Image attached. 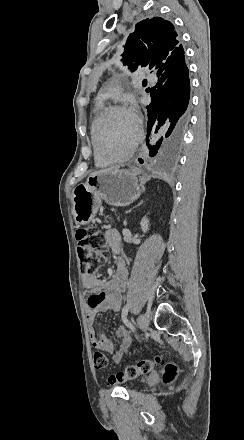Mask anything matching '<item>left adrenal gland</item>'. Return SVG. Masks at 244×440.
I'll return each instance as SVG.
<instances>
[{
  "label": "left adrenal gland",
  "mask_w": 244,
  "mask_h": 440,
  "mask_svg": "<svg viewBox=\"0 0 244 440\" xmlns=\"http://www.w3.org/2000/svg\"><path fill=\"white\" fill-rule=\"evenodd\" d=\"M143 204V200H141L140 204H137V206H141ZM137 206H134V208H137Z\"/></svg>",
  "instance_id": "obj_1"
}]
</instances>
